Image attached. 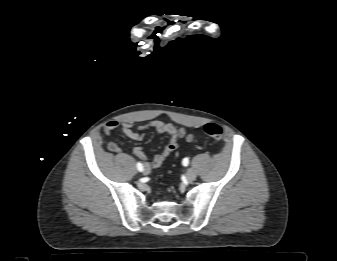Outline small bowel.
I'll return each mask as SVG.
<instances>
[{"mask_svg":"<svg viewBox=\"0 0 337 261\" xmlns=\"http://www.w3.org/2000/svg\"><path fill=\"white\" fill-rule=\"evenodd\" d=\"M121 128V131L127 137L140 141L144 138V132L148 129H154L159 134H167L169 136V140L164 148L151 160L150 162H145V166L148 168H158L162 165L164 160L174 151L177 150L179 142L181 140H185L187 142H195V137L193 134L189 133L184 128H177L173 124L165 123L160 120H154L150 123L137 127L134 130V125L128 122H118L115 120L108 121L103 130L106 134H110L113 130ZM108 148L115 153H119L122 151V148L117 142H110L108 144ZM133 153L139 159L145 161L147 159V155L145 151L141 147H136L133 149Z\"/></svg>","mask_w":337,"mask_h":261,"instance_id":"c3829d8e","label":"small bowel"}]
</instances>
